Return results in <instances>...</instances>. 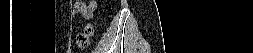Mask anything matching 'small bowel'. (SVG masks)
<instances>
[{
  "label": "small bowel",
  "instance_id": "obj_1",
  "mask_svg": "<svg viewBox=\"0 0 253 53\" xmlns=\"http://www.w3.org/2000/svg\"><path fill=\"white\" fill-rule=\"evenodd\" d=\"M96 8V1H76L73 6V14L90 17Z\"/></svg>",
  "mask_w": 253,
  "mask_h": 53
}]
</instances>
